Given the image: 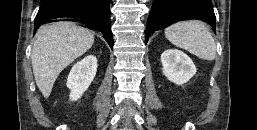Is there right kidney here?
I'll return each mask as SVG.
<instances>
[{
    "instance_id": "obj_1",
    "label": "right kidney",
    "mask_w": 257,
    "mask_h": 130,
    "mask_svg": "<svg viewBox=\"0 0 257 130\" xmlns=\"http://www.w3.org/2000/svg\"><path fill=\"white\" fill-rule=\"evenodd\" d=\"M97 72V58L93 55L86 56L77 62L71 69L67 87L71 90L70 100L77 101L88 89Z\"/></svg>"
}]
</instances>
